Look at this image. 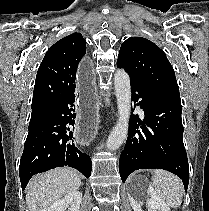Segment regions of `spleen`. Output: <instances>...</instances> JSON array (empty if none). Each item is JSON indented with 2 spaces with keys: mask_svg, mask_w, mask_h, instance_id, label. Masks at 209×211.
<instances>
[{
  "mask_svg": "<svg viewBox=\"0 0 209 211\" xmlns=\"http://www.w3.org/2000/svg\"><path fill=\"white\" fill-rule=\"evenodd\" d=\"M152 183L157 194L168 206L172 208L181 206L184 187L177 176L165 170L157 169L153 171Z\"/></svg>",
  "mask_w": 209,
  "mask_h": 211,
  "instance_id": "3e777b00",
  "label": "spleen"
}]
</instances>
